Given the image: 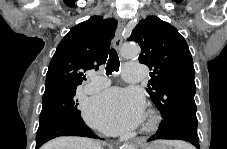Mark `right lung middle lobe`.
I'll return each instance as SVG.
<instances>
[{
  "label": "right lung middle lobe",
  "mask_w": 227,
  "mask_h": 149,
  "mask_svg": "<svg viewBox=\"0 0 227 149\" xmlns=\"http://www.w3.org/2000/svg\"><path fill=\"white\" fill-rule=\"evenodd\" d=\"M75 94L74 86H55L45 89L39 118L40 125L65 121L82 122Z\"/></svg>",
  "instance_id": "dd1d6c3e"
}]
</instances>
